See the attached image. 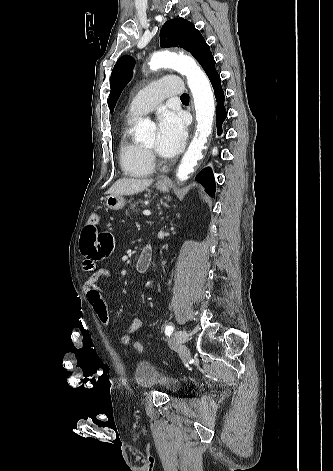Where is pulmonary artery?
<instances>
[{"label":"pulmonary artery","instance_id":"1","mask_svg":"<svg viewBox=\"0 0 333 471\" xmlns=\"http://www.w3.org/2000/svg\"><path fill=\"white\" fill-rule=\"evenodd\" d=\"M183 93L179 77L166 76L156 80L141 90L131 101L127 116L132 119L154 110L166 97Z\"/></svg>","mask_w":333,"mask_h":471}]
</instances>
